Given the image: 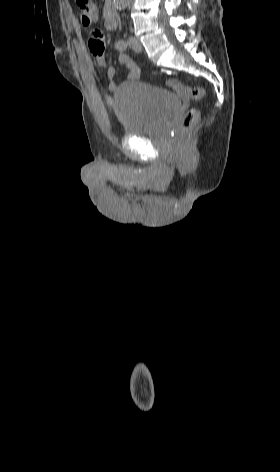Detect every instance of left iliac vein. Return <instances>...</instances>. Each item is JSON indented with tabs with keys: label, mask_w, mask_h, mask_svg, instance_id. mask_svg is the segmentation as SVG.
<instances>
[{
	"label": "left iliac vein",
	"mask_w": 280,
	"mask_h": 472,
	"mask_svg": "<svg viewBox=\"0 0 280 472\" xmlns=\"http://www.w3.org/2000/svg\"><path fill=\"white\" fill-rule=\"evenodd\" d=\"M127 43L129 47L136 53H140L142 51V45L136 37H129Z\"/></svg>",
	"instance_id": "left-iliac-vein-1"
}]
</instances>
